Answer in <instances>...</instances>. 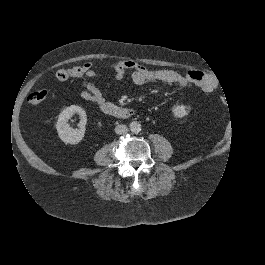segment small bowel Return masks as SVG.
<instances>
[{"label":"small bowel","mask_w":265,"mask_h":265,"mask_svg":"<svg viewBox=\"0 0 265 265\" xmlns=\"http://www.w3.org/2000/svg\"><path fill=\"white\" fill-rule=\"evenodd\" d=\"M85 76L93 78L97 75L92 63H85ZM109 69L113 72V78L116 81H122L128 71H131L132 82L137 86H142L148 82L160 81L167 84H177L181 87H187L190 84L196 85L202 92L210 93L216 88V82L206 74L190 70L181 74L169 69H149L142 64L132 60H118L109 64ZM79 95L87 101H93L97 104L105 102L103 90L89 80H81Z\"/></svg>","instance_id":"obj_1"}]
</instances>
